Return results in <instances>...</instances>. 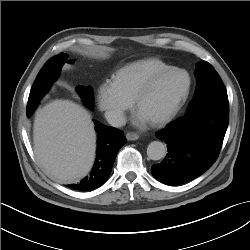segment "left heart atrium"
Masks as SVG:
<instances>
[{"label": "left heart atrium", "mask_w": 250, "mask_h": 250, "mask_svg": "<svg viewBox=\"0 0 250 250\" xmlns=\"http://www.w3.org/2000/svg\"><path fill=\"white\" fill-rule=\"evenodd\" d=\"M146 122H147V119L138 112L136 119H135V123L138 125H144Z\"/></svg>", "instance_id": "obj_1"}]
</instances>
